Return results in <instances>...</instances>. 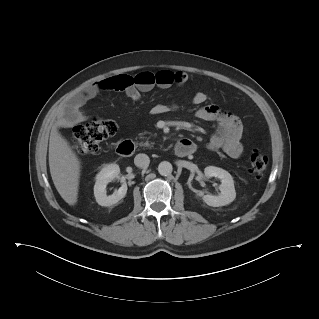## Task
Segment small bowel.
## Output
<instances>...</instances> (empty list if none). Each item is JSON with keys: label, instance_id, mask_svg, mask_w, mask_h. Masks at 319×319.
Returning a JSON list of instances; mask_svg holds the SVG:
<instances>
[{"label": "small bowel", "instance_id": "1", "mask_svg": "<svg viewBox=\"0 0 319 319\" xmlns=\"http://www.w3.org/2000/svg\"><path fill=\"white\" fill-rule=\"evenodd\" d=\"M144 73L152 74L154 82L151 84H136L131 76L112 75L86 87L65 105L55 126L58 128L69 127L86 121L90 116L83 111L84 105L101 92L124 91L130 99L138 101L141 97V91H148L155 85L166 89L173 84H184L188 79L184 72L173 73L163 70L157 73ZM128 82H131V84L126 85ZM207 100L208 95L201 91L196 92L192 98L195 105H202L196 110V117L216 124V130L209 139L207 148L212 151L223 150L231 158H239L244 152L242 144L244 127L242 122L236 115L217 105H203ZM172 108L173 106L159 104L152 108V113L163 114Z\"/></svg>", "mask_w": 319, "mask_h": 319}]
</instances>
